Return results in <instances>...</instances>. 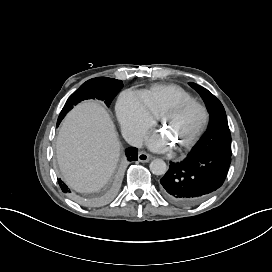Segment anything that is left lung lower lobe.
<instances>
[{
  "mask_svg": "<svg viewBox=\"0 0 272 272\" xmlns=\"http://www.w3.org/2000/svg\"><path fill=\"white\" fill-rule=\"evenodd\" d=\"M230 162L231 156L217 152L189 154L180 163H170L159 190L175 204L194 205L221 187Z\"/></svg>",
  "mask_w": 272,
  "mask_h": 272,
  "instance_id": "1",
  "label": "left lung lower lobe"
}]
</instances>
